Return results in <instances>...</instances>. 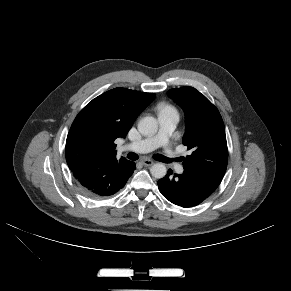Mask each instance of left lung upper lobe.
Segmentation results:
<instances>
[{"label": "left lung upper lobe", "mask_w": 291, "mask_h": 291, "mask_svg": "<svg viewBox=\"0 0 291 291\" xmlns=\"http://www.w3.org/2000/svg\"><path fill=\"white\" fill-rule=\"evenodd\" d=\"M168 95L183 107L186 114L183 144L193 152L184 159L183 166L222 180L228 149L218 109L193 87L171 89Z\"/></svg>", "instance_id": "obj_1"}]
</instances>
